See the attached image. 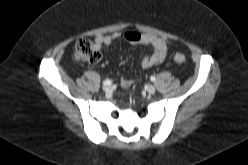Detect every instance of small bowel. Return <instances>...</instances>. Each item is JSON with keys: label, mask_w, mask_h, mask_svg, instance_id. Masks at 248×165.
Returning a JSON list of instances; mask_svg holds the SVG:
<instances>
[{"label": "small bowel", "mask_w": 248, "mask_h": 165, "mask_svg": "<svg viewBox=\"0 0 248 165\" xmlns=\"http://www.w3.org/2000/svg\"><path fill=\"white\" fill-rule=\"evenodd\" d=\"M119 39H125L131 44L148 48V52L141 61V65L144 68L161 63L169 47L168 42L159 36L138 32H115L109 35H98L94 38V45L96 48L109 47L114 41ZM133 83V80L127 78L121 80L123 88H129Z\"/></svg>", "instance_id": "c3829d8e"}]
</instances>
